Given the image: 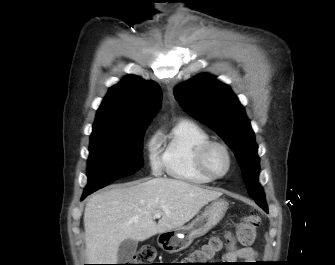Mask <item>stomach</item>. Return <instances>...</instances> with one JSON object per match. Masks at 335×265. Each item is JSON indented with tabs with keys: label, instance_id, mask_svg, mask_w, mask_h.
<instances>
[{
	"label": "stomach",
	"instance_id": "1",
	"mask_svg": "<svg viewBox=\"0 0 335 265\" xmlns=\"http://www.w3.org/2000/svg\"><path fill=\"white\" fill-rule=\"evenodd\" d=\"M228 203L225 199H215L192 222L181 228L160 233L157 239L161 249L176 253L187 248L195 238L205 235L225 216Z\"/></svg>",
	"mask_w": 335,
	"mask_h": 265
}]
</instances>
